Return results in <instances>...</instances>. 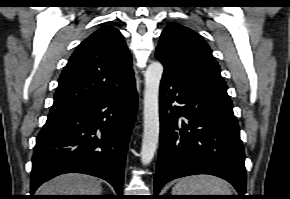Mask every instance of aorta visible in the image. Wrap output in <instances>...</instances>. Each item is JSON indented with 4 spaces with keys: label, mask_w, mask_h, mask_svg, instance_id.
<instances>
[{
    "label": "aorta",
    "mask_w": 290,
    "mask_h": 199,
    "mask_svg": "<svg viewBox=\"0 0 290 199\" xmlns=\"http://www.w3.org/2000/svg\"><path fill=\"white\" fill-rule=\"evenodd\" d=\"M162 74L163 65L158 61L152 62L145 71L144 132L140 152L143 165L152 161L159 142V87Z\"/></svg>",
    "instance_id": "762f6f07"
}]
</instances>
